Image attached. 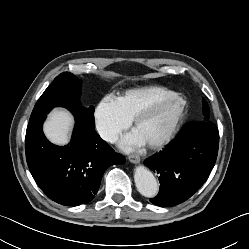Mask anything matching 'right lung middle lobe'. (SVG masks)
Instances as JSON below:
<instances>
[{
  "mask_svg": "<svg viewBox=\"0 0 249 249\" xmlns=\"http://www.w3.org/2000/svg\"><path fill=\"white\" fill-rule=\"evenodd\" d=\"M81 82L73 74L58 75L37 101L29 122L45 116L54 107L67 108L84 125L95 127L94 107H82L80 103Z\"/></svg>",
  "mask_w": 249,
  "mask_h": 249,
  "instance_id": "1",
  "label": "right lung middle lobe"
}]
</instances>
